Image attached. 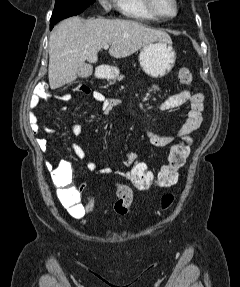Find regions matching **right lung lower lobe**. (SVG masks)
Segmentation results:
<instances>
[{
	"mask_svg": "<svg viewBox=\"0 0 240 287\" xmlns=\"http://www.w3.org/2000/svg\"><path fill=\"white\" fill-rule=\"evenodd\" d=\"M55 24H56V23H55ZM55 24L50 25V29H52Z\"/></svg>",
	"mask_w": 240,
	"mask_h": 287,
	"instance_id": "1",
	"label": "right lung lower lobe"
}]
</instances>
